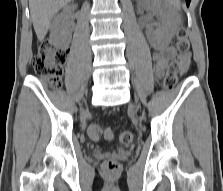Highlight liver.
Instances as JSON below:
<instances>
[{
  "mask_svg": "<svg viewBox=\"0 0 223 191\" xmlns=\"http://www.w3.org/2000/svg\"><path fill=\"white\" fill-rule=\"evenodd\" d=\"M71 0H29L33 27L39 41H43L53 16Z\"/></svg>",
  "mask_w": 223,
  "mask_h": 191,
  "instance_id": "6515ba94",
  "label": "liver"
}]
</instances>
